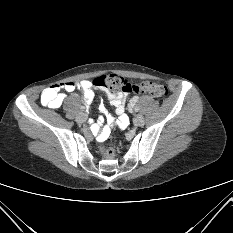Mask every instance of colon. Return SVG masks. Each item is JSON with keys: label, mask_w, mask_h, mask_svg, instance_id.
<instances>
[{"label": "colon", "mask_w": 233, "mask_h": 233, "mask_svg": "<svg viewBox=\"0 0 233 233\" xmlns=\"http://www.w3.org/2000/svg\"><path fill=\"white\" fill-rule=\"evenodd\" d=\"M104 83L108 84L111 91L120 90L124 93L149 94L155 98H162L168 94V89L164 85L153 82H142L133 84L129 80L116 74L104 75ZM101 152L107 158H113L115 151L112 148H102Z\"/></svg>", "instance_id": "obj_1"}]
</instances>
